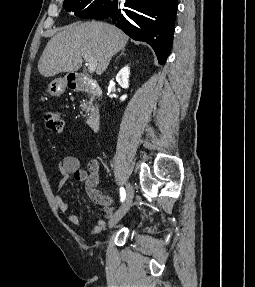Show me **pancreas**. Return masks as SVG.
Returning a JSON list of instances; mask_svg holds the SVG:
<instances>
[{"instance_id": "cf45deb5", "label": "pancreas", "mask_w": 255, "mask_h": 287, "mask_svg": "<svg viewBox=\"0 0 255 287\" xmlns=\"http://www.w3.org/2000/svg\"><path fill=\"white\" fill-rule=\"evenodd\" d=\"M93 98H90V102H81L80 108H82V112H89L91 110ZM86 116V114H84Z\"/></svg>"}]
</instances>
